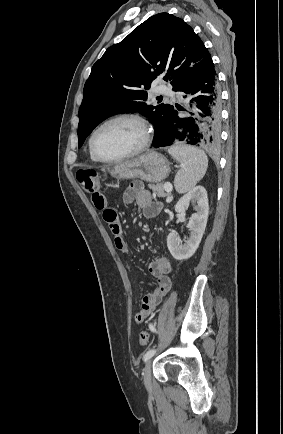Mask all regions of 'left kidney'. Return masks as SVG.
Masks as SVG:
<instances>
[{"label":"left kidney","instance_id":"1","mask_svg":"<svg viewBox=\"0 0 283 434\" xmlns=\"http://www.w3.org/2000/svg\"><path fill=\"white\" fill-rule=\"evenodd\" d=\"M190 203H196L197 205L195 207L196 213L191 215L187 224L190 231L189 237L184 240V244H182L178 234L174 231L169 233L167 237V247L176 260L188 259L196 252L208 220V197L206 189L203 186L193 187L181 197L175 205V211L177 213H184Z\"/></svg>","mask_w":283,"mask_h":434}]
</instances>
